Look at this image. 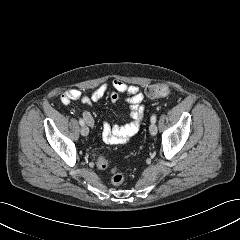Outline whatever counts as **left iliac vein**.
Returning <instances> with one entry per match:
<instances>
[{
	"mask_svg": "<svg viewBox=\"0 0 240 240\" xmlns=\"http://www.w3.org/2000/svg\"><path fill=\"white\" fill-rule=\"evenodd\" d=\"M149 132L152 136H155L157 134V126L155 125V123L150 124Z\"/></svg>",
	"mask_w": 240,
	"mask_h": 240,
	"instance_id": "obj_1",
	"label": "left iliac vein"
}]
</instances>
